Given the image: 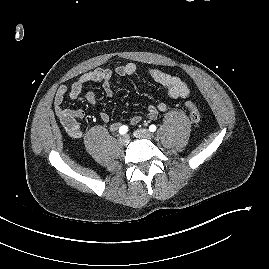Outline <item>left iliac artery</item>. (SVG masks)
<instances>
[{
	"label": "left iliac artery",
	"instance_id": "obj_1",
	"mask_svg": "<svg viewBox=\"0 0 269 269\" xmlns=\"http://www.w3.org/2000/svg\"><path fill=\"white\" fill-rule=\"evenodd\" d=\"M156 129H157V127H156V125H154V124L150 125V127H149V130H150L151 132H155Z\"/></svg>",
	"mask_w": 269,
	"mask_h": 269
}]
</instances>
